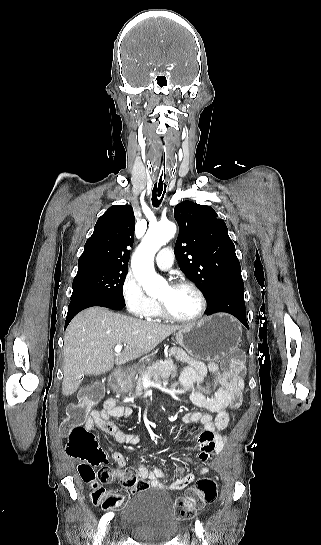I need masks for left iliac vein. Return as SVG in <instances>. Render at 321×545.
I'll return each instance as SVG.
<instances>
[{
    "instance_id": "1",
    "label": "left iliac vein",
    "mask_w": 321,
    "mask_h": 545,
    "mask_svg": "<svg viewBox=\"0 0 321 545\" xmlns=\"http://www.w3.org/2000/svg\"><path fill=\"white\" fill-rule=\"evenodd\" d=\"M194 545H199V541L197 539L194 540Z\"/></svg>"
}]
</instances>
